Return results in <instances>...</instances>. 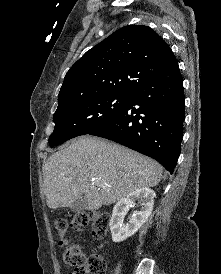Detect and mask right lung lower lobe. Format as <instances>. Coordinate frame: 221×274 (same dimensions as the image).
<instances>
[{
    "label": "right lung lower lobe",
    "instance_id": "1",
    "mask_svg": "<svg viewBox=\"0 0 221 274\" xmlns=\"http://www.w3.org/2000/svg\"><path fill=\"white\" fill-rule=\"evenodd\" d=\"M184 102L177 63L140 87L111 120L89 134L147 155L173 173L181 150Z\"/></svg>",
    "mask_w": 221,
    "mask_h": 274
}]
</instances>
